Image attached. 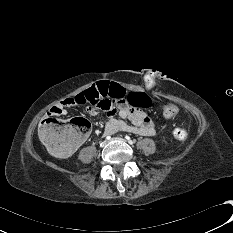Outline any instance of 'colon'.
Segmentation results:
<instances>
[{
    "mask_svg": "<svg viewBox=\"0 0 233 233\" xmlns=\"http://www.w3.org/2000/svg\"><path fill=\"white\" fill-rule=\"evenodd\" d=\"M110 97L112 100L125 99L127 104L135 109H143L149 106L147 95L138 90L127 91L123 84L114 79L100 80L86 91L74 96L76 105L96 104L99 99ZM179 112L173 103L166 104L162 109L165 118H171ZM91 129L90 122L81 117L72 119L67 124H62L58 119L48 117L40 126L39 135L48 150L57 158L71 156L77 147L84 141ZM172 135L177 140H186L189 132L186 128L176 127Z\"/></svg>",
    "mask_w": 233,
    "mask_h": 233,
    "instance_id": "1",
    "label": "colon"
}]
</instances>
